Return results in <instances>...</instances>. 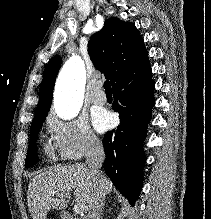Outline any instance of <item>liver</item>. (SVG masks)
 Instances as JSON below:
<instances>
[{
    "instance_id": "1",
    "label": "liver",
    "mask_w": 211,
    "mask_h": 219,
    "mask_svg": "<svg viewBox=\"0 0 211 219\" xmlns=\"http://www.w3.org/2000/svg\"><path fill=\"white\" fill-rule=\"evenodd\" d=\"M101 176L105 194L111 193L112 182L104 174ZM95 185L89 167L84 164L50 168L36 175L29 184V211L33 219H46L51 208L63 210L67 207V201L64 198H54V194H68L74 190L77 205L87 212L93 200Z\"/></svg>"
}]
</instances>
